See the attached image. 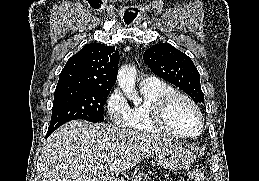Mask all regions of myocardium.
I'll return each mask as SVG.
<instances>
[{
  "instance_id": "1",
  "label": "myocardium",
  "mask_w": 259,
  "mask_h": 181,
  "mask_svg": "<svg viewBox=\"0 0 259 181\" xmlns=\"http://www.w3.org/2000/svg\"><path fill=\"white\" fill-rule=\"evenodd\" d=\"M178 100H183L186 103H188L197 114L199 119V129L196 133L194 134L183 133L176 130L171 125L169 121V113L174 103ZM153 113H154V117L157 125L161 127L163 130H165L167 133H169L170 135L177 136L180 138H195L203 132L204 117L200 108L192 98H190L189 96L183 93H180L177 91L166 93L156 102Z\"/></svg>"
}]
</instances>
